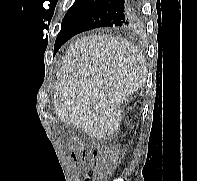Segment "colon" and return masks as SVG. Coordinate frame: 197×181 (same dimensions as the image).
Here are the masks:
<instances>
[{"label":"colon","mask_w":197,"mask_h":181,"mask_svg":"<svg viewBox=\"0 0 197 181\" xmlns=\"http://www.w3.org/2000/svg\"><path fill=\"white\" fill-rule=\"evenodd\" d=\"M116 166V160L111 150H103L93 160V175L100 179L107 177Z\"/></svg>","instance_id":"1"}]
</instances>
